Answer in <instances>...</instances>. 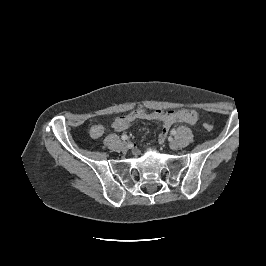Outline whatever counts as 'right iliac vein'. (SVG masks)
Instances as JSON below:
<instances>
[{
    "mask_svg": "<svg viewBox=\"0 0 266 266\" xmlns=\"http://www.w3.org/2000/svg\"><path fill=\"white\" fill-rule=\"evenodd\" d=\"M128 147H129V143L128 142L125 141V142L121 143V149L123 151H126L128 149Z\"/></svg>",
    "mask_w": 266,
    "mask_h": 266,
    "instance_id": "63e3f726",
    "label": "right iliac vein"
}]
</instances>
